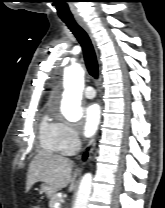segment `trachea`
Returning <instances> with one entry per match:
<instances>
[{"label": "trachea", "mask_w": 165, "mask_h": 208, "mask_svg": "<svg viewBox=\"0 0 165 208\" xmlns=\"http://www.w3.org/2000/svg\"><path fill=\"white\" fill-rule=\"evenodd\" d=\"M63 22L72 31L82 46L84 60L89 74L97 79L99 75L98 63L96 54L91 43V40L85 30L80 27L73 19H63Z\"/></svg>", "instance_id": "1"}]
</instances>
